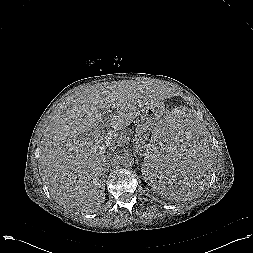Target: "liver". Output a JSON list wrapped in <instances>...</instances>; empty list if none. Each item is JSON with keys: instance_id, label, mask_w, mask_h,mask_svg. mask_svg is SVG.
Segmentation results:
<instances>
[{"instance_id": "1", "label": "liver", "mask_w": 253, "mask_h": 253, "mask_svg": "<svg viewBox=\"0 0 253 253\" xmlns=\"http://www.w3.org/2000/svg\"><path fill=\"white\" fill-rule=\"evenodd\" d=\"M159 99V87L133 81L92 85L71 96L46 126L38 160L55 202L97 211L105 201L107 148ZM104 122L112 129L93 137Z\"/></svg>"}]
</instances>
